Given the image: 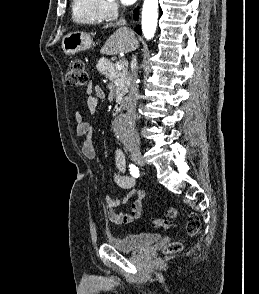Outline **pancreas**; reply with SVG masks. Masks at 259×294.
Instances as JSON below:
<instances>
[{
    "label": "pancreas",
    "mask_w": 259,
    "mask_h": 294,
    "mask_svg": "<svg viewBox=\"0 0 259 294\" xmlns=\"http://www.w3.org/2000/svg\"><path fill=\"white\" fill-rule=\"evenodd\" d=\"M97 70L106 76L116 86V102L118 105L123 104V96L128 92L129 75L126 69L117 70L115 64L102 57L96 65Z\"/></svg>",
    "instance_id": "cf45deb5"
}]
</instances>
